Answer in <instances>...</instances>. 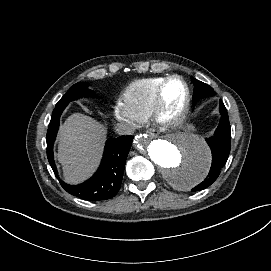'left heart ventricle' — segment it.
<instances>
[{
	"mask_svg": "<svg viewBox=\"0 0 271 271\" xmlns=\"http://www.w3.org/2000/svg\"><path fill=\"white\" fill-rule=\"evenodd\" d=\"M186 88L179 80H173L167 87L166 99L171 105L179 104L185 97Z\"/></svg>",
	"mask_w": 271,
	"mask_h": 271,
	"instance_id": "obj_1",
	"label": "left heart ventricle"
}]
</instances>
